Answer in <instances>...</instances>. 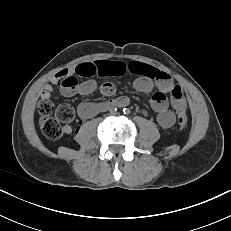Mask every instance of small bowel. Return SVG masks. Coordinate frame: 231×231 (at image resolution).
Returning a JSON list of instances; mask_svg holds the SVG:
<instances>
[{
	"label": "small bowel",
	"mask_w": 231,
	"mask_h": 231,
	"mask_svg": "<svg viewBox=\"0 0 231 231\" xmlns=\"http://www.w3.org/2000/svg\"><path fill=\"white\" fill-rule=\"evenodd\" d=\"M127 72L136 76L134 87L137 91L149 93L154 87L156 88L151 98V108L157 114L158 124L165 129L171 128L176 121V115L171 107L178 111L186 103L182 90L179 85L174 83L168 73L138 61L124 63L101 60L85 62L72 69H64L50 78L44 85L40 98L49 99L59 81L71 74L86 78L78 87L77 92L81 95H89L97 88L95 77L121 76ZM114 92L115 87L111 83L105 82L102 84L101 93L103 95L110 96ZM127 103L128 99L126 97H119L115 100V104L119 106ZM105 108L106 106L103 103L83 102L78 106L77 112L81 119H90ZM71 130L70 126L64 127L66 133H70Z\"/></svg>",
	"instance_id": "c3829d8e"
}]
</instances>
